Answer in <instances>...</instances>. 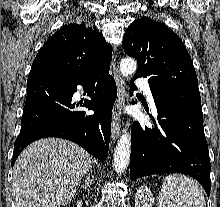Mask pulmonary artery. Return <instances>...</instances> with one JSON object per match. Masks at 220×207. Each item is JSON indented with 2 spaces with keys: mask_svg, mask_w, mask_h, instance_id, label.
<instances>
[{
  "mask_svg": "<svg viewBox=\"0 0 220 207\" xmlns=\"http://www.w3.org/2000/svg\"><path fill=\"white\" fill-rule=\"evenodd\" d=\"M136 86H137L138 88L142 89V90L146 93V95H147V97H148V100H149L151 106H152L153 108H155L154 99H153V96H152V93H151V90H150V86H149L148 81L145 80V79H142V78H141V79H138V80L136 81Z\"/></svg>",
  "mask_w": 220,
  "mask_h": 207,
  "instance_id": "obj_1",
  "label": "pulmonary artery"
}]
</instances>
